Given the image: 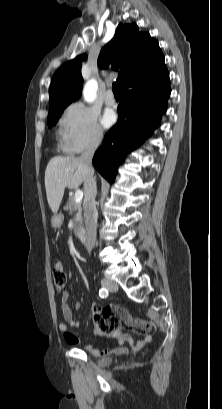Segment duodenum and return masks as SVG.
Returning <instances> with one entry per match:
<instances>
[{
	"label": "duodenum",
	"mask_w": 222,
	"mask_h": 409,
	"mask_svg": "<svg viewBox=\"0 0 222 409\" xmlns=\"http://www.w3.org/2000/svg\"><path fill=\"white\" fill-rule=\"evenodd\" d=\"M77 235H78L79 240H80L84 245H86V244H87V236H86L85 231H84L82 228H78V230H77Z\"/></svg>",
	"instance_id": "410a0bca"
}]
</instances>
